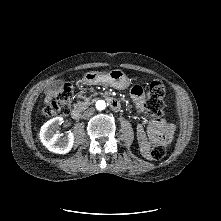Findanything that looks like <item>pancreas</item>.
<instances>
[{"mask_svg": "<svg viewBox=\"0 0 221 221\" xmlns=\"http://www.w3.org/2000/svg\"><path fill=\"white\" fill-rule=\"evenodd\" d=\"M82 98L84 99V101L83 102H78V104H77V106L80 109H83L84 107H86L90 104V98L89 97L82 96Z\"/></svg>", "mask_w": 221, "mask_h": 221, "instance_id": "pancreas-1", "label": "pancreas"}]
</instances>
